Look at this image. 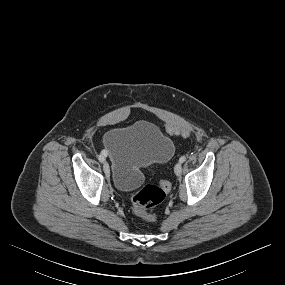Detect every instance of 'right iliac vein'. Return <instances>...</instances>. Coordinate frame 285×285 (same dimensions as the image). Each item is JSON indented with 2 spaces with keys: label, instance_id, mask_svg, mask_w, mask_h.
I'll list each match as a JSON object with an SVG mask.
<instances>
[{
  "label": "right iliac vein",
  "instance_id": "right-iliac-vein-1",
  "mask_svg": "<svg viewBox=\"0 0 285 285\" xmlns=\"http://www.w3.org/2000/svg\"><path fill=\"white\" fill-rule=\"evenodd\" d=\"M103 170H104V172H105L106 175L109 174L110 169H109V165H108L107 162H104V164H103Z\"/></svg>",
  "mask_w": 285,
  "mask_h": 285
}]
</instances>
